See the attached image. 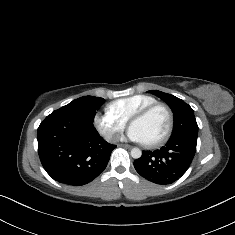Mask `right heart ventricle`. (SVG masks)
<instances>
[{"instance_id": "e07e8e85", "label": "right heart ventricle", "mask_w": 235, "mask_h": 235, "mask_svg": "<svg viewBox=\"0 0 235 235\" xmlns=\"http://www.w3.org/2000/svg\"><path fill=\"white\" fill-rule=\"evenodd\" d=\"M155 103H158V101L154 97L148 94L138 93L119 98L110 105L115 114L129 120L142 109Z\"/></svg>"}]
</instances>
